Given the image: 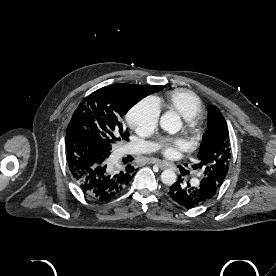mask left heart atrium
I'll return each mask as SVG.
<instances>
[{
    "label": "left heart atrium",
    "instance_id": "1",
    "mask_svg": "<svg viewBox=\"0 0 276 276\" xmlns=\"http://www.w3.org/2000/svg\"><path fill=\"white\" fill-rule=\"evenodd\" d=\"M161 143V152L167 158H174L180 150L186 148V143L181 137L165 138Z\"/></svg>",
    "mask_w": 276,
    "mask_h": 276
}]
</instances>
